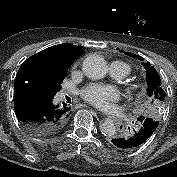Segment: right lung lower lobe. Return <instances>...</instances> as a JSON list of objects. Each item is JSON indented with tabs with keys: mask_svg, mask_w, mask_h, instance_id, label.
<instances>
[{
	"mask_svg": "<svg viewBox=\"0 0 177 177\" xmlns=\"http://www.w3.org/2000/svg\"><path fill=\"white\" fill-rule=\"evenodd\" d=\"M53 97L23 86H14L15 113L31 134L51 135L68 121L70 108L53 104Z\"/></svg>",
	"mask_w": 177,
	"mask_h": 177,
	"instance_id": "obj_1",
	"label": "right lung lower lobe"
}]
</instances>
